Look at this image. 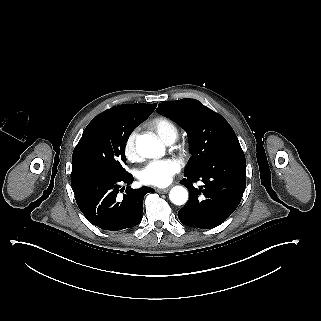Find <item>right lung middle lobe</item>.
Wrapping results in <instances>:
<instances>
[{"instance_id":"1","label":"right lung middle lobe","mask_w":321,"mask_h":321,"mask_svg":"<svg viewBox=\"0 0 321 321\" xmlns=\"http://www.w3.org/2000/svg\"><path fill=\"white\" fill-rule=\"evenodd\" d=\"M136 124L118 123L107 115L99 114L85 128L72 155L73 167H96L110 172H127L126 142Z\"/></svg>"}]
</instances>
